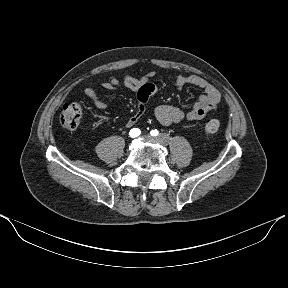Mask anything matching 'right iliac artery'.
I'll list each match as a JSON object with an SVG mask.
<instances>
[{
    "instance_id": "1",
    "label": "right iliac artery",
    "mask_w": 288,
    "mask_h": 288,
    "mask_svg": "<svg viewBox=\"0 0 288 288\" xmlns=\"http://www.w3.org/2000/svg\"><path fill=\"white\" fill-rule=\"evenodd\" d=\"M141 133V131L138 128H133L130 130L129 135L131 138H135L137 136H139Z\"/></svg>"
}]
</instances>
